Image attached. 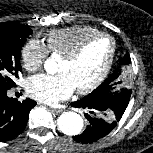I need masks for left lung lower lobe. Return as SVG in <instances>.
Masks as SVG:
<instances>
[{"instance_id": "left-lung-lower-lobe-1", "label": "left lung lower lobe", "mask_w": 153, "mask_h": 153, "mask_svg": "<svg viewBox=\"0 0 153 153\" xmlns=\"http://www.w3.org/2000/svg\"><path fill=\"white\" fill-rule=\"evenodd\" d=\"M73 107H82L89 111L85 114L89 124L85 131L73 139L80 143H92L109 134L117 125L116 122L106 118L105 109L108 104L100 101L81 99L71 104Z\"/></svg>"}]
</instances>
